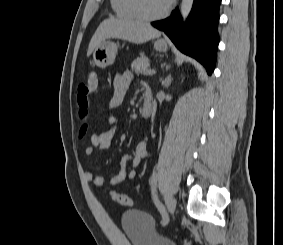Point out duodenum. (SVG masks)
Here are the masks:
<instances>
[{
  "instance_id": "1",
  "label": "duodenum",
  "mask_w": 283,
  "mask_h": 245,
  "mask_svg": "<svg viewBox=\"0 0 283 245\" xmlns=\"http://www.w3.org/2000/svg\"><path fill=\"white\" fill-rule=\"evenodd\" d=\"M153 110V104L151 97L147 94L144 98L143 106H142V115L145 118L151 116Z\"/></svg>"
}]
</instances>
